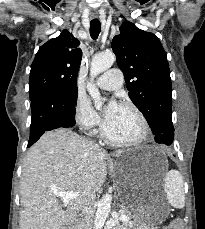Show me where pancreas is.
Instances as JSON below:
<instances>
[{
	"label": "pancreas",
	"instance_id": "cf45deb5",
	"mask_svg": "<svg viewBox=\"0 0 205 229\" xmlns=\"http://www.w3.org/2000/svg\"><path fill=\"white\" fill-rule=\"evenodd\" d=\"M136 226H138L136 221H126L123 222L122 224H119L117 229H139Z\"/></svg>",
	"mask_w": 205,
	"mask_h": 229
}]
</instances>
